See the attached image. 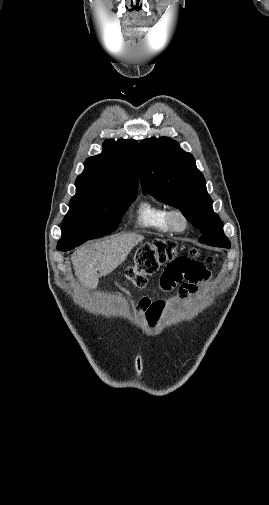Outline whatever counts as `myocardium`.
Returning a JSON list of instances; mask_svg holds the SVG:
<instances>
[{
    "instance_id": "f54148a6",
    "label": "myocardium",
    "mask_w": 269,
    "mask_h": 505,
    "mask_svg": "<svg viewBox=\"0 0 269 505\" xmlns=\"http://www.w3.org/2000/svg\"><path fill=\"white\" fill-rule=\"evenodd\" d=\"M166 219L169 228L175 233H184L190 226V220L188 216L184 211L178 208L168 210ZM177 219H180L182 221L183 225L181 227L177 225Z\"/></svg>"
}]
</instances>
